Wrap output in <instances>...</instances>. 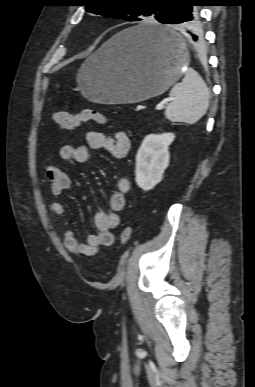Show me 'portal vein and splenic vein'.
Returning a JSON list of instances; mask_svg holds the SVG:
<instances>
[{"instance_id":"1","label":"portal vein and splenic vein","mask_w":255,"mask_h":387,"mask_svg":"<svg viewBox=\"0 0 255 387\" xmlns=\"http://www.w3.org/2000/svg\"><path fill=\"white\" fill-rule=\"evenodd\" d=\"M171 99H169L170 101ZM164 108V103H159L157 106H156V110H162Z\"/></svg>"}]
</instances>
